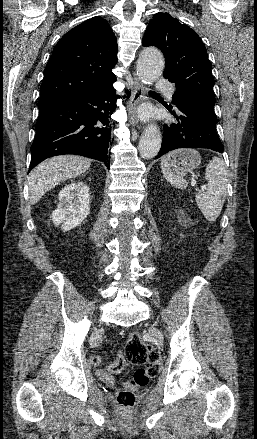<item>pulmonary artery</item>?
<instances>
[{
  "label": "pulmonary artery",
  "mask_w": 257,
  "mask_h": 439,
  "mask_svg": "<svg viewBox=\"0 0 257 439\" xmlns=\"http://www.w3.org/2000/svg\"><path fill=\"white\" fill-rule=\"evenodd\" d=\"M156 89L166 95L168 99H171L174 94V88L172 84L163 78H159L156 80Z\"/></svg>",
  "instance_id": "e3ab8cb5"
}]
</instances>
